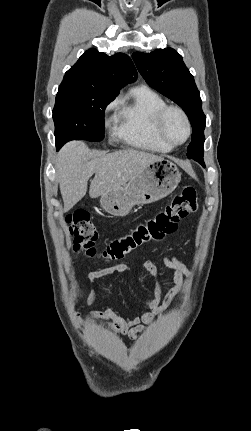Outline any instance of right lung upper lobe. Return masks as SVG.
Returning a JSON list of instances; mask_svg holds the SVG:
<instances>
[{
	"label": "right lung upper lobe",
	"instance_id": "cb5924a9",
	"mask_svg": "<svg viewBox=\"0 0 251 431\" xmlns=\"http://www.w3.org/2000/svg\"><path fill=\"white\" fill-rule=\"evenodd\" d=\"M136 76V69L126 54L108 56L91 48L65 73L61 85L117 96L121 87L134 81Z\"/></svg>",
	"mask_w": 251,
	"mask_h": 431
}]
</instances>
